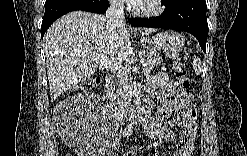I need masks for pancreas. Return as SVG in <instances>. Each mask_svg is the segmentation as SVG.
Masks as SVG:
<instances>
[{"label":"pancreas","mask_w":247,"mask_h":156,"mask_svg":"<svg viewBox=\"0 0 247 156\" xmlns=\"http://www.w3.org/2000/svg\"><path fill=\"white\" fill-rule=\"evenodd\" d=\"M145 63H144V68L143 71L146 75H148L156 66L160 65L162 62V59L157 55L156 53L148 52L145 55ZM120 84V90L122 92H126L129 89H131V85L126 78V76H117Z\"/></svg>","instance_id":"obj_1"}]
</instances>
